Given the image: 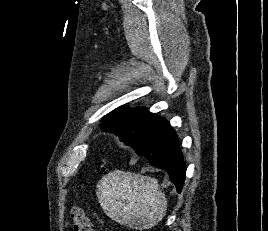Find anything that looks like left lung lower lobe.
I'll use <instances>...</instances> for the list:
<instances>
[{
	"label": "left lung lower lobe",
	"mask_w": 268,
	"mask_h": 231,
	"mask_svg": "<svg viewBox=\"0 0 268 231\" xmlns=\"http://www.w3.org/2000/svg\"><path fill=\"white\" fill-rule=\"evenodd\" d=\"M136 153L149 160L152 166L168 172L178 192L182 190L185 180V163L179 148L175 131L165 121L146 141L132 146Z\"/></svg>",
	"instance_id": "obj_1"
}]
</instances>
